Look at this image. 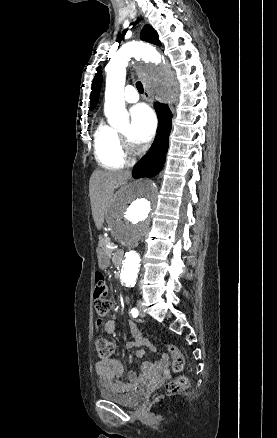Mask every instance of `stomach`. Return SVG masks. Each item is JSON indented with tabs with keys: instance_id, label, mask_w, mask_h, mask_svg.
I'll return each mask as SVG.
<instances>
[{
	"instance_id": "1",
	"label": "stomach",
	"mask_w": 277,
	"mask_h": 438,
	"mask_svg": "<svg viewBox=\"0 0 277 438\" xmlns=\"http://www.w3.org/2000/svg\"><path fill=\"white\" fill-rule=\"evenodd\" d=\"M98 263L100 268H106L109 265V257L102 251L98 252Z\"/></svg>"
}]
</instances>
